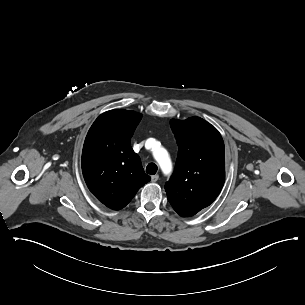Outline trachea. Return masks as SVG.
Here are the masks:
<instances>
[{
  "mask_svg": "<svg viewBox=\"0 0 305 305\" xmlns=\"http://www.w3.org/2000/svg\"><path fill=\"white\" fill-rule=\"evenodd\" d=\"M157 170H158V167L154 163H150L146 167V173H148L150 175H154L157 172Z\"/></svg>",
  "mask_w": 305,
  "mask_h": 305,
  "instance_id": "3493384b",
  "label": "trachea"
}]
</instances>
